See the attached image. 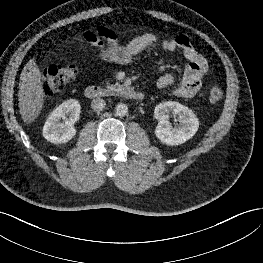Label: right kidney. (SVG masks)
Segmentation results:
<instances>
[{
	"label": "right kidney",
	"mask_w": 263,
	"mask_h": 263,
	"mask_svg": "<svg viewBox=\"0 0 263 263\" xmlns=\"http://www.w3.org/2000/svg\"><path fill=\"white\" fill-rule=\"evenodd\" d=\"M80 108L76 99L67 100L56 107L44 124V138L54 144L70 141L77 132L74 125L79 120Z\"/></svg>",
	"instance_id": "right-kidney-1"
}]
</instances>
